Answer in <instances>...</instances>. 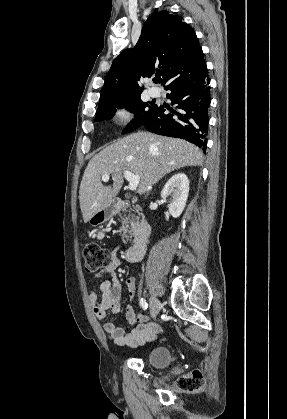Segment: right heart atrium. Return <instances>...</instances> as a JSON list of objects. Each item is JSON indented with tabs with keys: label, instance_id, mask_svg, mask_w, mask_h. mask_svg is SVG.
<instances>
[{
	"label": "right heart atrium",
	"instance_id": "right-heart-atrium-1",
	"mask_svg": "<svg viewBox=\"0 0 287 419\" xmlns=\"http://www.w3.org/2000/svg\"><path fill=\"white\" fill-rule=\"evenodd\" d=\"M132 119L131 112L125 107H117L112 113V120L118 127L127 125Z\"/></svg>",
	"mask_w": 287,
	"mask_h": 419
}]
</instances>
